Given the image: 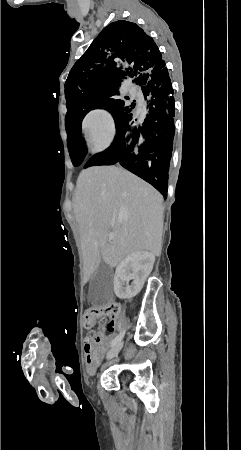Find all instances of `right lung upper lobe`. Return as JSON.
I'll list each match as a JSON object with an SVG mask.
<instances>
[{
  "mask_svg": "<svg viewBox=\"0 0 241 450\" xmlns=\"http://www.w3.org/2000/svg\"><path fill=\"white\" fill-rule=\"evenodd\" d=\"M165 61L154 42L137 24L119 20L109 24L72 67L74 73L96 87L120 89L128 77H140Z\"/></svg>",
  "mask_w": 241,
  "mask_h": 450,
  "instance_id": "right-lung-upper-lobe-1",
  "label": "right lung upper lobe"
}]
</instances>
